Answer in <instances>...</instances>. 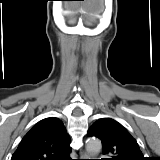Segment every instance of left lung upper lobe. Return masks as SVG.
<instances>
[{"label": "left lung upper lobe", "instance_id": "obj_1", "mask_svg": "<svg viewBox=\"0 0 160 160\" xmlns=\"http://www.w3.org/2000/svg\"><path fill=\"white\" fill-rule=\"evenodd\" d=\"M87 135L102 141L103 154L112 158L106 160H146L137 141L117 121L111 118L97 120Z\"/></svg>", "mask_w": 160, "mask_h": 160}]
</instances>
